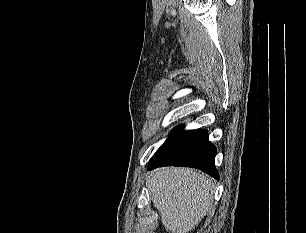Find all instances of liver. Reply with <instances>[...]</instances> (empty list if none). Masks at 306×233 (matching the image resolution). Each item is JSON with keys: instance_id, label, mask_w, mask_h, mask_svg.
I'll use <instances>...</instances> for the list:
<instances>
[{"instance_id": "liver-1", "label": "liver", "mask_w": 306, "mask_h": 233, "mask_svg": "<svg viewBox=\"0 0 306 233\" xmlns=\"http://www.w3.org/2000/svg\"><path fill=\"white\" fill-rule=\"evenodd\" d=\"M147 186L167 231L189 233L213 204V180L203 173L167 167L151 172Z\"/></svg>"}]
</instances>
